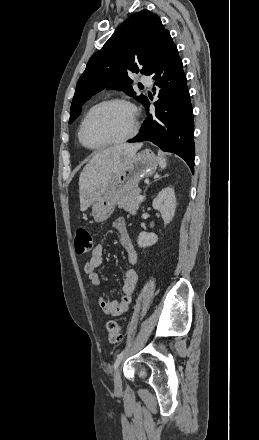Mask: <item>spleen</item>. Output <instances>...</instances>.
I'll return each instance as SVG.
<instances>
[{
  "instance_id": "3e777b00",
  "label": "spleen",
  "mask_w": 259,
  "mask_h": 440,
  "mask_svg": "<svg viewBox=\"0 0 259 440\" xmlns=\"http://www.w3.org/2000/svg\"><path fill=\"white\" fill-rule=\"evenodd\" d=\"M157 159H158V163H159L160 167L163 169L166 168L167 162L161 153H158Z\"/></svg>"
}]
</instances>
